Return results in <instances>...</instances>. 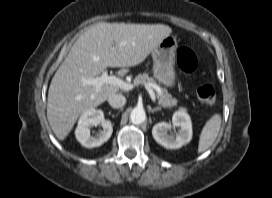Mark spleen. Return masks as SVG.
I'll return each instance as SVG.
<instances>
[{
    "mask_svg": "<svg viewBox=\"0 0 272 198\" xmlns=\"http://www.w3.org/2000/svg\"><path fill=\"white\" fill-rule=\"evenodd\" d=\"M221 127V115L214 114L204 125L198 144V153L206 151L216 140Z\"/></svg>",
    "mask_w": 272,
    "mask_h": 198,
    "instance_id": "3e777b00",
    "label": "spleen"
}]
</instances>
